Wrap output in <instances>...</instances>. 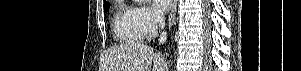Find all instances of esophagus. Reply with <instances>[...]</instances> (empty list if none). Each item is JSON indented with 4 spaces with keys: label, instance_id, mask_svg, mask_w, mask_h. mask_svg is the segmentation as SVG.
I'll use <instances>...</instances> for the list:
<instances>
[{
    "label": "esophagus",
    "instance_id": "esophagus-1",
    "mask_svg": "<svg viewBox=\"0 0 301 71\" xmlns=\"http://www.w3.org/2000/svg\"><path fill=\"white\" fill-rule=\"evenodd\" d=\"M177 3H178V0H174L173 1V5H172V9L170 11V14H169V19H168V26H169V29H171V27L174 25L175 23V16H176V10H177Z\"/></svg>",
    "mask_w": 301,
    "mask_h": 71
}]
</instances>
